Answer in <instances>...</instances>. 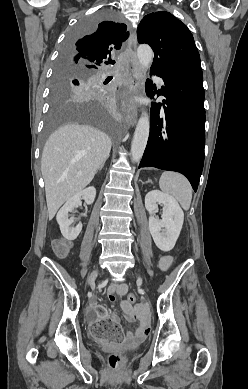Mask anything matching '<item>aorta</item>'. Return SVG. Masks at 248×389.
<instances>
[{
  "label": "aorta",
  "instance_id": "1",
  "mask_svg": "<svg viewBox=\"0 0 248 389\" xmlns=\"http://www.w3.org/2000/svg\"><path fill=\"white\" fill-rule=\"evenodd\" d=\"M137 57L140 65L147 69L152 63L153 51L149 45H140L137 49ZM150 130L149 115L143 112L138 120L131 144V160L140 161L147 145Z\"/></svg>",
  "mask_w": 248,
  "mask_h": 389
}]
</instances>
